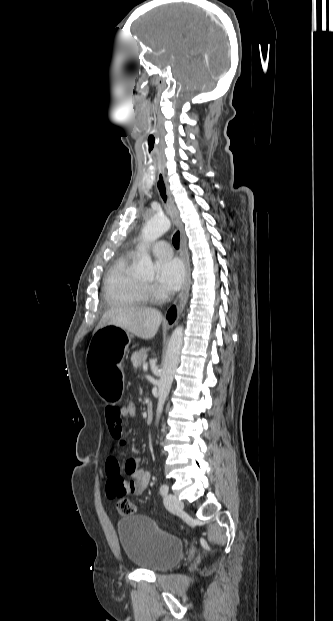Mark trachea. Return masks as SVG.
Here are the masks:
<instances>
[{"label":"trachea","instance_id":"3493384b","mask_svg":"<svg viewBox=\"0 0 333 621\" xmlns=\"http://www.w3.org/2000/svg\"><path fill=\"white\" fill-rule=\"evenodd\" d=\"M173 245L176 249H179V245H180V232L177 231L172 239Z\"/></svg>","mask_w":333,"mask_h":621}]
</instances>
